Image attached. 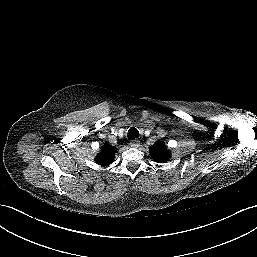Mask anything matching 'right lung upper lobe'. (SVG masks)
<instances>
[{
  "label": "right lung upper lobe",
  "instance_id": "cb5924a9",
  "mask_svg": "<svg viewBox=\"0 0 257 257\" xmlns=\"http://www.w3.org/2000/svg\"><path fill=\"white\" fill-rule=\"evenodd\" d=\"M116 150V147L110 144H104L101 153L95 158L96 163L102 166L111 164L114 160Z\"/></svg>",
  "mask_w": 257,
  "mask_h": 257
}]
</instances>
